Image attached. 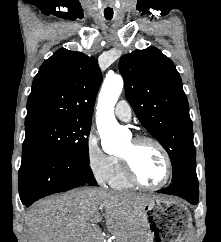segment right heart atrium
<instances>
[{"label": "right heart atrium", "mask_w": 221, "mask_h": 242, "mask_svg": "<svg viewBox=\"0 0 221 242\" xmlns=\"http://www.w3.org/2000/svg\"><path fill=\"white\" fill-rule=\"evenodd\" d=\"M85 152L88 168L95 179L100 183L108 181L113 167V156L103 151L96 133L88 134Z\"/></svg>", "instance_id": "obj_1"}]
</instances>
